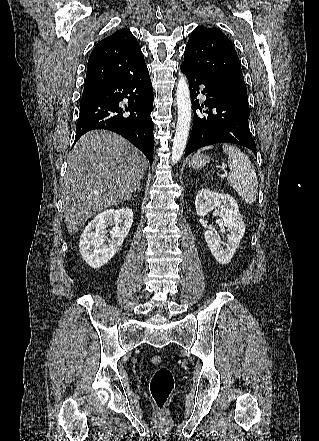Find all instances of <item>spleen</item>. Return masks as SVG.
<instances>
[{
    "mask_svg": "<svg viewBox=\"0 0 319 441\" xmlns=\"http://www.w3.org/2000/svg\"><path fill=\"white\" fill-rule=\"evenodd\" d=\"M212 148L213 146H208L200 151ZM222 148L228 155L227 162L230 169L227 177L228 182L247 204H254L258 189V179L249 157L233 145L224 144Z\"/></svg>",
    "mask_w": 319,
    "mask_h": 441,
    "instance_id": "1",
    "label": "spleen"
}]
</instances>
